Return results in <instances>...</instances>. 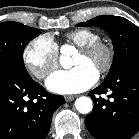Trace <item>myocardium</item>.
<instances>
[{
    "label": "myocardium",
    "instance_id": "1",
    "mask_svg": "<svg viewBox=\"0 0 139 139\" xmlns=\"http://www.w3.org/2000/svg\"><path fill=\"white\" fill-rule=\"evenodd\" d=\"M79 51L90 56L102 55L103 60L99 67L98 75H105L112 68L115 53L113 46L109 42L99 39L79 47Z\"/></svg>",
    "mask_w": 139,
    "mask_h": 139
}]
</instances>
